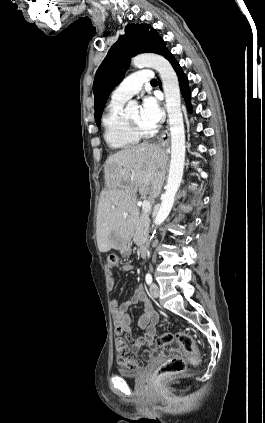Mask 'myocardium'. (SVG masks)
I'll use <instances>...</instances> for the list:
<instances>
[{"label":"myocardium","instance_id":"1","mask_svg":"<svg viewBox=\"0 0 265 423\" xmlns=\"http://www.w3.org/2000/svg\"><path fill=\"white\" fill-rule=\"evenodd\" d=\"M125 118H126L127 123L129 124V126L131 127V129L136 134H138L139 136L145 135L148 132V128L147 127L141 126V125L133 122L128 116L125 117Z\"/></svg>","mask_w":265,"mask_h":423}]
</instances>
